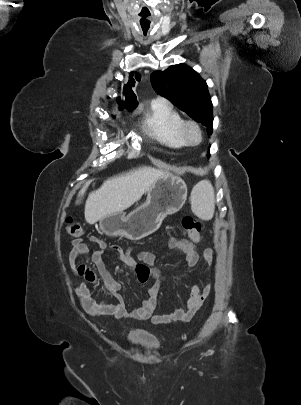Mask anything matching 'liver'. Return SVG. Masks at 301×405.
I'll return each mask as SVG.
<instances>
[{"instance_id": "liver-1", "label": "liver", "mask_w": 301, "mask_h": 405, "mask_svg": "<svg viewBox=\"0 0 301 405\" xmlns=\"http://www.w3.org/2000/svg\"><path fill=\"white\" fill-rule=\"evenodd\" d=\"M164 175L162 170L142 166L107 179L99 189L88 195L85 204L86 221L94 224L108 215L126 210L140 200L151 185ZM89 184L90 181L85 183L79 191V197L84 195Z\"/></svg>"}]
</instances>
